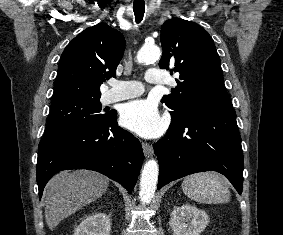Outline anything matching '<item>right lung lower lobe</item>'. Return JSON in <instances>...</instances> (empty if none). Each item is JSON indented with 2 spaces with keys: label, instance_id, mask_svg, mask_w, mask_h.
<instances>
[{
  "label": "right lung lower lobe",
  "instance_id": "98d812e1",
  "mask_svg": "<svg viewBox=\"0 0 283 235\" xmlns=\"http://www.w3.org/2000/svg\"><path fill=\"white\" fill-rule=\"evenodd\" d=\"M117 113L92 125L63 132L39 143L36 166L39 197L51 177L65 169H89L119 182L130 194L143 162L137 138L117 125Z\"/></svg>",
  "mask_w": 283,
  "mask_h": 235
}]
</instances>
